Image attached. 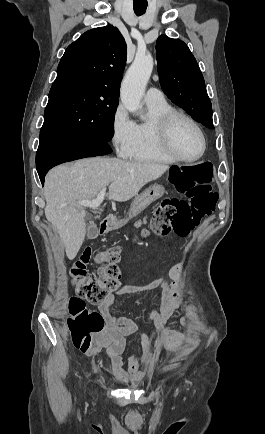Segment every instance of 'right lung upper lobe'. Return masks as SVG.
<instances>
[{
    "label": "right lung upper lobe",
    "instance_id": "right-lung-upper-lobe-1",
    "mask_svg": "<svg viewBox=\"0 0 265 434\" xmlns=\"http://www.w3.org/2000/svg\"><path fill=\"white\" fill-rule=\"evenodd\" d=\"M126 48L124 38L114 26L89 30L67 47L58 65L55 81L91 80L119 91Z\"/></svg>",
    "mask_w": 265,
    "mask_h": 434
}]
</instances>
